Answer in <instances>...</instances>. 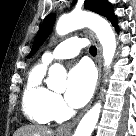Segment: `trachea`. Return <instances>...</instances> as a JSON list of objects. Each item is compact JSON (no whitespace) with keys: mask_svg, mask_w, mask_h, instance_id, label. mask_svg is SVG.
<instances>
[{"mask_svg":"<svg viewBox=\"0 0 136 136\" xmlns=\"http://www.w3.org/2000/svg\"><path fill=\"white\" fill-rule=\"evenodd\" d=\"M91 55L95 56L97 54V48L95 46H91L89 49Z\"/></svg>","mask_w":136,"mask_h":136,"instance_id":"3493384b","label":"trachea"}]
</instances>
